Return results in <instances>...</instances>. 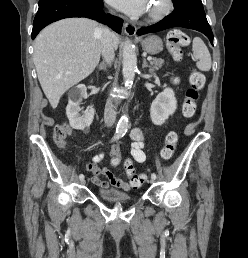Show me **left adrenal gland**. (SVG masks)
<instances>
[{"mask_svg": "<svg viewBox=\"0 0 248 258\" xmlns=\"http://www.w3.org/2000/svg\"><path fill=\"white\" fill-rule=\"evenodd\" d=\"M142 67H143V68H149V73H150V74H153L154 69H153L151 66L148 65V63H147V61H146L145 58L143 59V66H142Z\"/></svg>", "mask_w": 248, "mask_h": 258, "instance_id": "a2214340", "label": "left adrenal gland"}]
</instances>
